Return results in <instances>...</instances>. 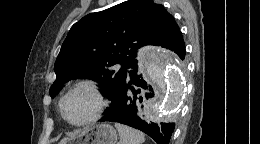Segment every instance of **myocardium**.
Here are the masks:
<instances>
[{
  "mask_svg": "<svg viewBox=\"0 0 260 144\" xmlns=\"http://www.w3.org/2000/svg\"><path fill=\"white\" fill-rule=\"evenodd\" d=\"M80 88H85V89H88L92 94L93 96L95 97L96 99V108L93 112V114L86 120L84 121H81V122H71L65 115V112H64V105H65V102L67 100V98L76 90L80 89ZM105 100H104V97H103V94L100 90V88L97 86V84L93 81H90V80H82V81H79L77 83H75L64 95L63 97L61 98V101H60V113H61V116L62 118L68 123L70 124L71 126H75V127H81V126H85V125H89L91 123H93L94 121H96L101 113L103 112L104 108H105Z\"/></svg>",
  "mask_w": 260,
  "mask_h": 144,
  "instance_id": "f54148a6",
  "label": "myocardium"
}]
</instances>
